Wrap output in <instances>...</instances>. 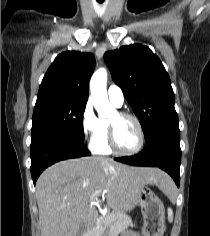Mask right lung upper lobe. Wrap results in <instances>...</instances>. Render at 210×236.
Returning <instances> with one entry per match:
<instances>
[{
  "label": "right lung upper lobe",
  "instance_id": "1",
  "mask_svg": "<svg viewBox=\"0 0 210 236\" xmlns=\"http://www.w3.org/2000/svg\"><path fill=\"white\" fill-rule=\"evenodd\" d=\"M94 66L95 58L91 53H61L47 70L36 103L49 99H75L87 102L89 80Z\"/></svg>",
  "mask_w": 210,
  "mask_h": 236
}]
</instances>
